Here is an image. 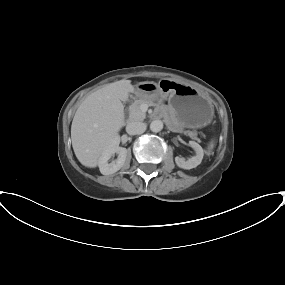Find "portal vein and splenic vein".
Returning a JSON list of instances; mask_svg holds the SVG:
<instances>
[{
    "instance_id": "portal-vein-and-splenic-vein-1",
    "label": "portal vein and splenic vein",
    "mask_w": 285,
    "mask_h": 285,
    "mask_svg": "<svg viewBox=\"0 0 285 285\" xmlns=\"http://www.w3.org/2000/svg\"><path fill=\"white\" fill-rule=\"evenodd\" d=\"M140 109H141L142 112L145 113L147 111V109H148V105L147 104H143V105H141Z\"/></svg>"
}]
</instances>
